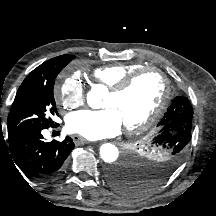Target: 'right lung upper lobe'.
Returning <instances> with one entry per match:
<instances>
[{
	"label": "right lung upper lobe",
	"mask_w": 216,
	"mask_h": 216,
	"mask_svg": "<svg viewBox=\"0 0 216 216\" xmlns=\"http://www.w3.org/2000/svg\"><path fill=\"white\" fill-rule=\"evenodd\" d=\"M62 56H65V55H62ZM62 56H58V57H55L53 59H50L46 62H44L43 64H41L40 66H38L36 69H34L28 76L27 78L23 81V83L21 84L20 88H19V91L22 89V87H24V85L30 81L31 79H33L34 77H37L39 75H42L48 68L49 64L54 61L55 59L59 58V57H62ZM67 56V55H66ZM72 56V55H71Z\"/></svg>",
	"instance_id": "right-lung-upper-lobe-1"
}]
</instances>
